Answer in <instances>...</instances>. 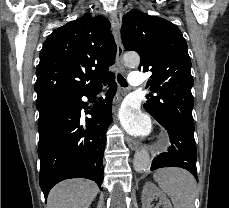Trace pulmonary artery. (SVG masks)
Returning a JSON list of instances; mask_svg holds the SVG:
<instances>
[{"label": "pulmonary artery", "instance_id": "e3ab8cb5", "mask_svg": "<svg viewBox=\"0 0 229 208\" xmlns=\"http://www.w3.org/2000/svg\"><path fill=\"white\" fill-rule=\"evenodd\" d=\"M144 76H145L144 72H134L128 77V81H129L131 86L141 87L143 79L138 78V77H144Z\"/></svg>", "mask_w": 229, "mask_h": 208}]
</instances>
